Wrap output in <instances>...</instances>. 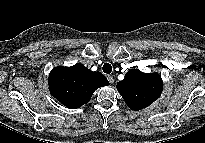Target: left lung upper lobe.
<instances>
[{
    "mask_svg": "<svg viewBox=\"0 0 205 143\" xmlns=\"http://www.w3.org/2000/svg\"><path fill=\"white\" fill-rule=\"evenodd\" d=\"M117 89L129 108L141 110L159 98L163 89L161 76L146 74L137 69L129 70Z\"/></svg>",
    "mask_w": 205,
    "mask_h": 143,
    "instance_id": "obj_1",
    "label": "left lung upper lobe"
}]
</instances>
